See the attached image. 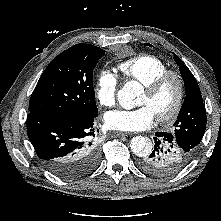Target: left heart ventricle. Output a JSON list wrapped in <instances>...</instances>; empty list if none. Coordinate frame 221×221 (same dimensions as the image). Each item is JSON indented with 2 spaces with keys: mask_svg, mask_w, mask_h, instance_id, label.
<instances>
[{
  "mask_svg": "<svg viewBox=\"0 0 221 221\" xmlns=\"http://www.w3.org/2000/svg\"><path fill=\"white\" fill-rule=\"evenodd\" d=\"M177 88L174 81H169L156 95H149L144 91L140 97L139 105H147L155 116L170 109L176 98Z\"/></svg>",
  "mask_w": 221,
  "mask_h": 221,
  "instance_id": "b2bd125f",
  "label": "left heart ventricle"
}]
</instances>
